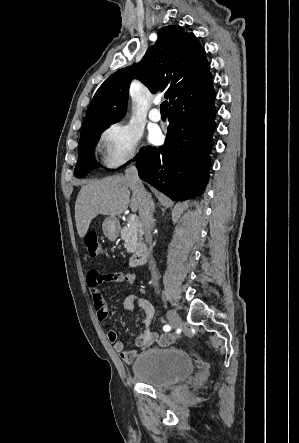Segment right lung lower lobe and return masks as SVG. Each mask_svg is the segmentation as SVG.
Instances as JSON below:
<instances>
[{"mask_svg": "<svg viewBox=\"0 0 299 443\" xmlns=\"http://www.w3.org/2000/svg\"><path fill=\"white\" fill-rule=\"evenodd\" d=\"M214 99L209 73L170 104L164 145L144 147L135 159L139 177L172 200L194 198L204 190L215 129Z\"/></svg>", "mask_w": 299, "mask_h": 443, "instance_id": "98d812e1", "label": "right lung lower lobe"}]
</instances>
